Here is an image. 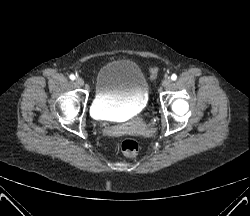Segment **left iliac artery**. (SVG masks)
Wrapping results in <instances>:
<instances>
[{
  "label": "left iliac artery",
  "instance_id": "left-iliac-artery-1",
  "mask_svg": "<svg viewBox=\"0 0 250 216\" xmlns=\"http://www.w3.org/2000/svg\"><path fill=\"white\" fill-rule=\"evenodd\" d=\"M171 79H172L173 81H175V80L177 79V75H176V74H173V75L171 76Z\"/></svg>",
  "mask_w": 250,
  "mask_h": 216
}]
</instances>
